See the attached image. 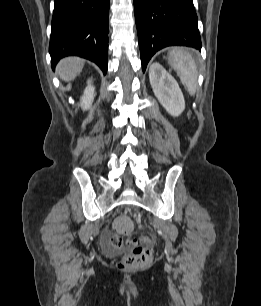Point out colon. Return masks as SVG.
<instances>
[{
    "mask_svg": "<svg viewBox=\"0 0 261 306\" xmlns=\"http://www.w3.org/2000/svg\"><path fill=\"white\" fill-rule=\"evenodd\" d=\"M117 235L110 239V245L114 249L129 248L119 263L121 269H139L147 266L151 260V252L140 245L147 238L137 239L132 237L134 224L128 216H120L115 221Z\"/></svg>",
    "mask_w": 261,
    "mask_h": 306,
    "instance_id": "colon-1",
    "label": "colon"
}]
</instances>
